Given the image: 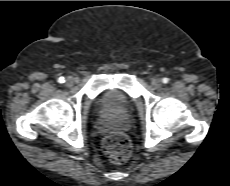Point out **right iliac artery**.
I'll list each match as a JSON object with an SVG mask.
<instances>
[{
  "label": "right iliac artery",
  "instance_id": "1",
  "mask_svg": "<svg viewBox=\"0 0 230 186\" xmlns=\"http://www.w3.org/2000/svg\"><path fill=\"white\" fill-rule=\"evenodd\" d=\"M58 82H59V83H64V82H65V78H64V77H60V78L58 79Z\"/></svg>",
  "mask_w": 230,
  "mask_h": 186
}]
</instances>
